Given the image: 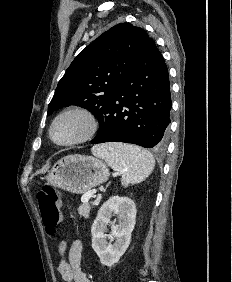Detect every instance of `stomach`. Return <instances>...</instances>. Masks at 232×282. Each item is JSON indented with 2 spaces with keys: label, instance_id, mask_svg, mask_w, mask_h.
Here are the masks:
<instances>
[{
  "label": "stomach",
  "instance_id": "0dacf381",
  "mask_svg": "<svg viewBox=\"0 0 232 282\" xmlns=\"http://www.w3.org/2000/svg\"><path fill=\"white\" fill-rule=\"evenodd\" d=\"M107 165L92 156L68 155L57 161L46 176L47 184L82 194L107 181Z\"/></svg>",
  "mask_w": 232,
  "mask_h": 282
}]
</instances>
